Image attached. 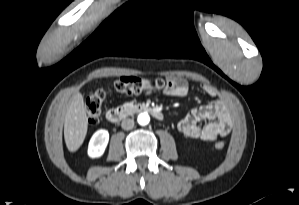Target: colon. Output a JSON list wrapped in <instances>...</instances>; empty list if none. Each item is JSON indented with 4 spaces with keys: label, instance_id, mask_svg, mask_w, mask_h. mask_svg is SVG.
Returning <instances> with one entry per match:
<instances>
[{
    "label": "colon",
    "instance_id": "1",
    "mask_svg": "<svg viewBox=\"0 0 299 205\" xmlns=\"http://www.w3.org/2000/svg\"><path fill=\"white\" fill-rule=\"evenodd\" d=\"M172 87V83L162 78L144 79L137 76H123L115 82V89L126 95L138 94L146 89L163 90ZM107 97V91L98 89L86 100V111L89 124H96L101 114V108ZM225 147L224 142L215 143V148L221 150Z\"/></svg>",
    "mask_w": 299,
    "mask_h": 205
}]
</instances>
